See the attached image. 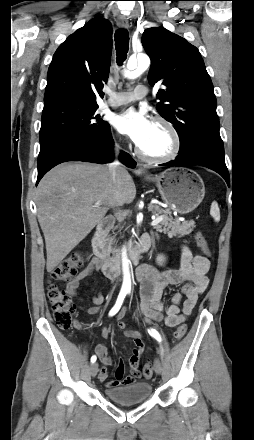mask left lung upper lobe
Wrapping results in <instances>:
<instances>
[{
	"label": "left lung upper lobe",
	"mask_w": 254,
	"mask_h": 440,
	"mask_svg": "<svg viewBox=\"0 0 254 440\" xmlns=\"http://www.w3.org/2000/svg\"><path fill=\"white\" fill-rule=\"evenodd\" d=\"M142 45L151 59L149 84L163 85L156 108L178 132L179 153L200 138H221L213 84L199 50L163 27L146 29Z\"/></svg>",
	"instance_id": "5c2ea615"
}]
</instances>
